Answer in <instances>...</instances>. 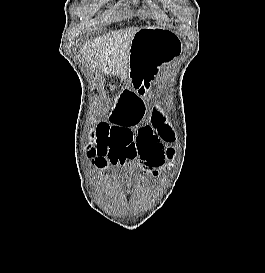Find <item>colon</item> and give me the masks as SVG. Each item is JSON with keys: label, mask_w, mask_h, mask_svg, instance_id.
<instances>
[{"label": "colon", "mask_w": 265, "mask_h": 273, "mask_svg": "<svg viewBox=\"0 0 265 273\" xmlns=\"http://www.w3.org/2000/svg\"><path fill=\"white\" fill-rule=\"evenodd\" d=\"M149 124L152 125V128H157V132H160V139L172 140L174 137L173 132L169 129V127L164 125V116L163 112L159 106L152 109L151 112V120ZM168 158H172L173 152L172 150H167Z\"/></svg>", "instance_id": "1"}]
</instances>
